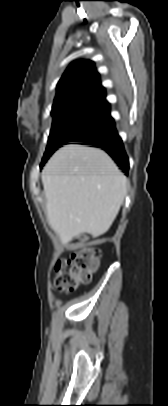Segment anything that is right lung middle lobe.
<instances>
[{
    "mask_svg": "<svg viewBox=\"0 0 168 406\" xmlns=\"http://www.w3.org/2000/svg\"><path fill=\"white\" fill-rule=\"evenodd\" d=\"M53 124L40 167L62 145L76 142L114 122L109 106L81 105L52 112Z\"/></svg>",
    "mask_w": 168,
    "mask_h": 406,
    "instance_id": "obj_1",
    "label": "right lung middle lobe"
}]
</instances>
